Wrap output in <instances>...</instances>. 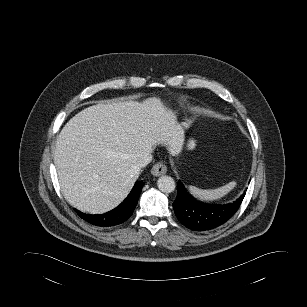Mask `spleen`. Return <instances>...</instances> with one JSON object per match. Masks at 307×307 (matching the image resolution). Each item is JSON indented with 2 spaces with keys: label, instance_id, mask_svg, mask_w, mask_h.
I'll return each instance as SVG.
<instances>
[{
  "label": "spleen",
  "instance_id": "spleen-1",
  "mask_svg": "<svg viewBox=\"0 0 307 307\" xmlns=\"http://www.w3.org/2000/svg\"><path fill=\"white\" fill-rule=\"evenodd\" d=\"M234 187H235V182H230L226 184L225 186H222L220 188L213 189V190H203V189H199V188L191 186L189 187V191L195 197H198L202 200H215V199L221 198L224 195H226Z\"/></svg>",
  "mask_w": 307,
  "mask_h": 307
}]
</instances>
